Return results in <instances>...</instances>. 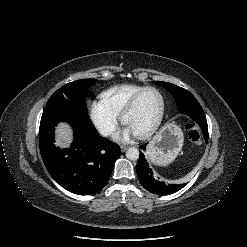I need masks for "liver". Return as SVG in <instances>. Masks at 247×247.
Instances as JSON below:
<instances>
[{"label": "liver", "instance_id": "obj_1", "mask_svg": "<svg viewBox=\"0 0 247 247\" xmlns=\"http://www.w3.org/2000/svg\"><path fill=\"white\" fill-rule=\"evenodd\" d=\"M72 140V133L68 125L60 124L57 128V142L59 146H68Z\"/></svg>", "mask_w": 247, "mask_h": 247}]
</instances>
